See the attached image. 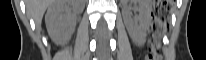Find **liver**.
Wrapping results in <instances>:
<instances>
[{
    "instance_id": "obj_1",
    "label": "liver",
    "mask_w": 206,
    "mask_h": 60,
    "mask_svg": "<svg viewBox=\"0 0 206 60\" xmlns=\"http://www.w3.org/2000/svg\"><path fill=\"white\" fill-rule=\"evenodd\" d=\"M59 1L60 0H26L27 13H28V15H30L34 19L36 25L40 26L46 9L53 4L60 5L61 2H59ZM70 2L73 5H75V4H78L82 1L81 0H73ZM63 15H64L65 19H67L69 17L68 12H64ZM47 27H48V30H49L51 37L54 40V37L51 34V31H52L51 28H49V25H47Z\"/></svg>"
}]
</instances>
